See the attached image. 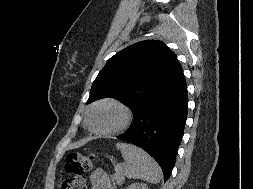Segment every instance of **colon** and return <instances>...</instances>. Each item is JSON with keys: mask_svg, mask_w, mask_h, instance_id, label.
I'll return each mask as SVG.
<instances>
[{"mask_svg": "<svg viewBox=\"0 0 253 189\" xmlns=\"http://www.w3.org/2000/svg\"><path fill=\"white\" fill-rule=\"evenodd\" d=\"M92 158L79 153L69 155L61 179V189H86L85 174L91 169Z\"/></svg>", "mask_w": 253, "mask_h": 189, "instance_id": "obj_1", "label": "colon"}]
</instances>
